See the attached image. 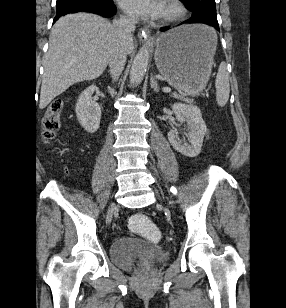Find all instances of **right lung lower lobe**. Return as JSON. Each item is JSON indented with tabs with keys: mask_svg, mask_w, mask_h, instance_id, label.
Instances as JSON below:
<instances>
[{
	"mask_svg": "<svg viewBox=\"0 0 286 308\" xmlns=\"http://www.w3.org/2000/svg\"><path fill=\"white\" fill-rule=\"evenodd\" d=\"M90 12L103 17H111L116 13V6L113 1H73L57 5V14L53 20L55 22L59 17L68 13Z\"/></svg>",
	"mask_w": 286,
	"mask_h": 308,
	"instance_id": "right-lung-lower-lobe-1",
	"label": "right lung lower lobe"
}]
</instances>
